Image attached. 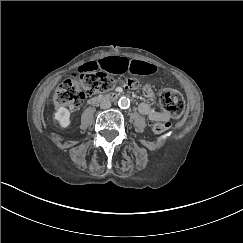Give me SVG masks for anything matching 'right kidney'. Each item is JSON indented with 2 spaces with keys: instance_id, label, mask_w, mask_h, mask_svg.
Wrapping results in <instances>:
<instances>
[{
  "instance_id": "1",
  "label": "right kidney",
  "mask_w": 243,
  "mask_h": 243,
  "mask_svg": "<svg viewBox=\"0 0 243 243\" xmlns=\"http://www.w3.org/2000/svg\"><path fill=\"white\" fill-rule=\"evenodd\" d=\"M54 118L59 122L60 126L66 128L70 125V112L64 107H60L55 113Z\"/></svg>"
}]
</instances>
